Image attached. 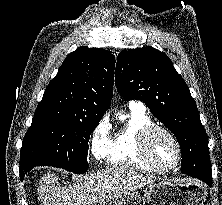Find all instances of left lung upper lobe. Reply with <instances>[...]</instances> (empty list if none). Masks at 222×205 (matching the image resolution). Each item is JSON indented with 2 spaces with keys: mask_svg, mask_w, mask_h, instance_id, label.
<instances>
[{
  "mask_svg": "<svg viewBox=\"0 0 222 205\" xmlns=\"http://www.w3.org/2000/svg\"><path fill=\"white\" fill-rule=\"evenodd\" d=\"M124 100L145 102L153 115L177 138L181 152L193 151L206 163L199 176L211 180L208 138L199 111L183 78L171 60L152 47L122 50L115 75Z\"/></svg>",
  "mask_w": 222,
  "mask_h": 205,
  "instance_id": "left-lung-upper-lobe-1",
  "label": "left lung upper lobe"
}]
</instances>
